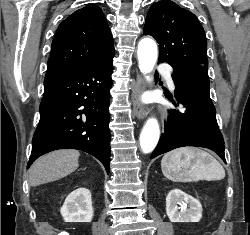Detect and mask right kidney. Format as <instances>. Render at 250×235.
<instances>
[{"label": "right kidney", "instance_id": "1", "mask_svg": "<svg viewBox=\"0 0 250 235\" xmlns=\"http://www.w3.org/2000/svg\"><path fill=\"white\" fill-rule=\"evenodd\" d=\"M61 215L65 222H91V192L87 188H78L71 192L61 208Z\"/></svg>", "mask_w": 250, "mask_h": 235}]
</instances>
